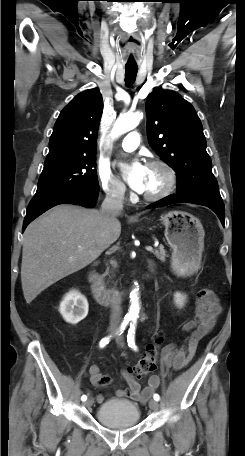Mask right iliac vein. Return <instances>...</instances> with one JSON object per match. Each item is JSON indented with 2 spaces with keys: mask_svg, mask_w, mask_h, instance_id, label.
<instances>
[{
  "mask_svg": "<svg viewBox=\"0 0 245 456\" xmlns=\"http://www.w3.org/2000/svg\"><path fill=\"white\" fill-rule=\"evenodd\" d=\"M109 332H110V333H114V332H115V329H114V328H111V329L109 330ZM93 402H94L93 399H92V398H89L86 402H84V405H85L86 407H90V406L93 404Z\"/></svg>",
  "mask_w": 245,
  "mask_h": 456,
  "instance_id": "1",
  "label": "right iliac vein"
}]
</instances>
